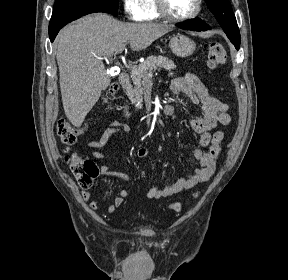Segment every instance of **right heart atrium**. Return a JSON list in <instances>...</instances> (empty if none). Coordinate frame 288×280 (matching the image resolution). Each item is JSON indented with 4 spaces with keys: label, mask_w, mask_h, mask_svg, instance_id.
Returning <instances> with one entry per match:
<instances>
[{
    "label": "right heart atrium",
    "mask_w": 288,
    "mask_h": 280,
    "mask_svg": "<svg viewBox=\"0 0 288 280\" xmlns=\"http://www.w3.org/2000/svg\"><path fill=\"white\" fill-rule=\"evenodd\" d=\"M122 8L128 19L140 21L144 13V0H122Z\"/></svg>",
    "instance_id": "d8ad5b80"
}]
</instances>
